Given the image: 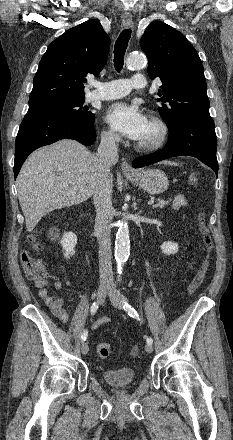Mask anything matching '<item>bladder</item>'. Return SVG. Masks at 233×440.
<instances>
[{
  "mask_svg": "<svg viewBox=\"0 0 233 440\" xmlns=\"http://www.w3.org/2000/svg\"><path fill=\"white\" fill-rule=\"evenodd\" d=\"M105 382L113 387H126L134 383L135 372L130 367L105 370L102 374Z\"/></svg>",
  "mask_w": 233,
  "mask_h": 440,
  "instance_id": "1",
  "label": "bladder"
}]
</instances>
